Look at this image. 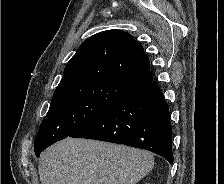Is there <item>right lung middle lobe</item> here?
I'll list each match as a JSON object with an SVG mask.
<instances>
[{"instance_id": "1", "label": "right lung middle lobe", "mask_w": 224, "mask_h": 184, "mask_svg": "<svg viewBox=\"0 0 224 184\" xmlns=\"http://www.w3.org/2000/svg\"><path fill=\"white\" fill-rule=\"evenodd\" d=\"M129 89L109 81H88L55 94L34 142L35 155L93 121Z\"/></svg>"}]
</instances>
